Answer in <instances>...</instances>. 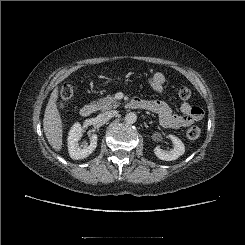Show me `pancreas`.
<instances>
[{
	"instance_id": "pancreas-1",
	"label": "pancreas",
	"mask_w": 245,
	"mask_h": 245,
	"mask_svg": "<svg viewBox=\"0 0 245 245\" xmlns=\"http://www.w3.org/2000/svg\"><path fill=\"white\" fill-rule=\"evenodd\" d=\"M118 106L119 102L112 95H107L96 102L97 109L102 111L116 109Z\"/></svg>"
}]
</instances>
